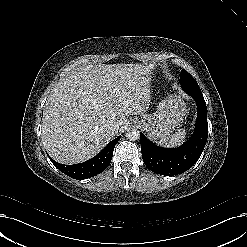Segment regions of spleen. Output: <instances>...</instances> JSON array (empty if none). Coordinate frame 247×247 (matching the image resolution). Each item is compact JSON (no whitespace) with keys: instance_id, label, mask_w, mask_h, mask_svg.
<instances>
[{"instance_id":"obj_1","label":"spleen","mask_w":247,"mask_h":247,"mask_svg":"<svg viewBox=\"0 0 247 247\" xmlns=\"http://www.w3.org/2000/svg\"><path fill=\"white\" fill-rule=\"evenodd\" d=\"M186 138L185 129H181L172 135H169L159 141V144L164 147H176L180 146Z\"/></svg>"}]
</instances>
